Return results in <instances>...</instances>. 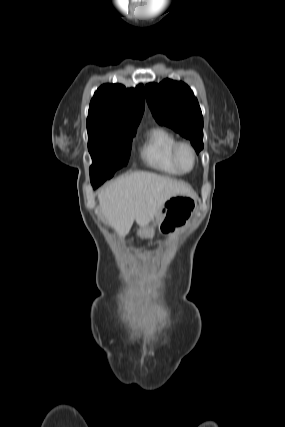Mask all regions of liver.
Instances as JSON below:
<instances>
[{"label":"liver","instance_id":"1","mask_svg":"<svg viewBox=\"0 0 285 427\" xmlns=\"http://www.w3.org/2000/svg\"><path fill=\"white\" fill-rule=\"evenodd\" d=\"M194 197L187 184L150 172H134L121 176L103 188L99 194L101 213L106 222L123 237L134 221L148 227L161 207L170 198Z\"/></svg>","mask_w":285,"mask_h":427}]
</instances>
